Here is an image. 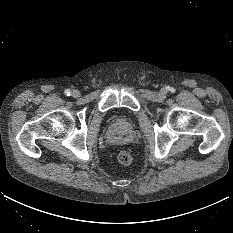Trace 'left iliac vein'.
<instances>
[{
	"label": "left iliac vein",
	"mask_w": 233,
	"mask_h": 233,
	"mask_svg": "<svg viewBox=\"0 0 233 233\" xmlns=\"http://www.w3.org/2000/svg\"><path fill=\"white\" fill-rule=\"evenodd\" d=\"M166 90L163 88V89H161V91H160V93H161V95H165L166 94Z\"/></svg>",
	"instance_id": "obj_1"
}]
</instances>
